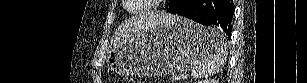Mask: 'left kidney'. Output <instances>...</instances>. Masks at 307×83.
<instances>
[{
	"label": "left kidney",
	"instance_id": "obj_1",
	"mask_svg": "<svg viewBox=\"0 0 307 83\" xmlns=\"http://www.w3.org/2000/svg\"><path fill=\"white\" fill-rule=\"evenodd\" d=\"M198 83H219V81L216 79H209L204 81H198Z\"/></svg>",
	"mask_w": 307,
	"mask_h": 83
}]
</instances>
